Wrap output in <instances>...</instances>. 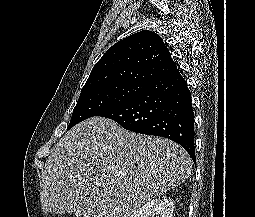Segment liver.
<instances>
[{"mask_svg":"<svg viewBox=\"0 0 255 217\" xmlns=\"http://www.w3.org/2000/svg\"><path fill=\"white\" fill-rule=\"evenodd\" d=\"M192 160L177 143L89 118L66 132L42 173V208L81 217H129L183 183Z\"/></svg>","mask_w":255,"mask_h":217,"instance_id":"obj_1","label":"liver"}]
</instances>
